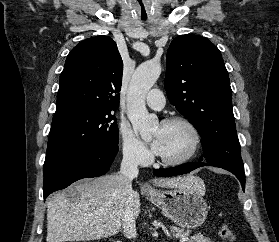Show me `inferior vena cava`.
Instances as JSON below:
<instances>
[{
    "label": "inferior vena cava",
    "instance_id": "obj_1",
    "mask_svg": "<svg viewBox=\"0 0 279 242\" xmlns=\"http://www.w3.org/2000/svg\"><path fill=\"white\" fill-rule=\"evenodd\" d=\"M138 157L133 151L124 153L123 160L120 167V174L125 178L122 186V195L128 198L132 195L131 182L138 175ZM124 236L127 239H133L136 237V225L133 211L128 205V201L125 206L123 225Z\"/></svg>",
    "mask_w": 279,
    "mask_h": 242
}]
</instances>
